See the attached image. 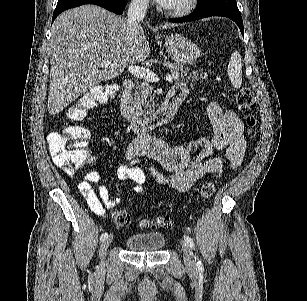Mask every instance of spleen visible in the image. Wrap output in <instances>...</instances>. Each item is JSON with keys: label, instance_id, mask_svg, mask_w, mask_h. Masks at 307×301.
Returning <instances> with one entry per match:
<instances>
[{"label": "spleen", "instance_id": "1", "mask_svg": "<svg viewBox=\"0 0 307 301\" xmlns=\"http://www.w3.org/2000/svg\"><path fill=\"white\" fill-rule=\"evenodd\" d=\"M230 82L234 88H241L242 84V60L239 52H233L230 56L227 68Z\"/></svg>", "mask_w": 307, "mask_h": 301}]
</instances>
